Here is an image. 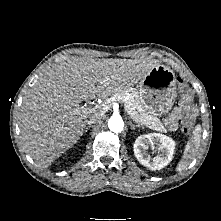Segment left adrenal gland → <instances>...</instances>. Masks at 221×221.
I'll use <instances>...</instances> for the list:
<instances>
[{"instance_id":"a2214340","label":"left adrenal gland","mask_w":221,"mask_h":221,"mask_svg":"<svg viewBox=\"0 0 221 221\" xmlns=\"http://www.w3.org/2000/svg\"><path fill=\"white\" fill-rule=\"evenodd\" d=\"M130 126H131V129H132V130H135V127H138V128L141 127L139 124H134V123H132V122H130Z\"/></svg>"}]
</instances>
